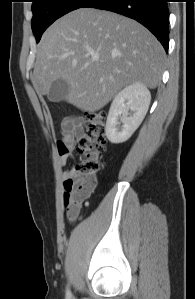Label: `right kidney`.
<instances>
[{
    "label": "right kidney",
    "mask_w": 195,
    "mask_h": 299,
    "mask_svg": "<svg viewBox=\"0 0 195 299\" xmlns=\"http://www.w3.org/2000/svg\"><path fill=\"white\" fill-rule=\"evenodd\" d=\"M150 101V91L143 83L134 82L121 90L114 97L107 116L108 140L114 144L128 140L143 121Z\"/></svg>",
    "instance_id": "obj_1"
}]
</instances>
